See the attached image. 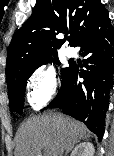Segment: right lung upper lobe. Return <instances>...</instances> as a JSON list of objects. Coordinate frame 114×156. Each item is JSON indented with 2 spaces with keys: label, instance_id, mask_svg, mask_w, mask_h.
I'll return each mask as SVG.
<instances>
[{
  "label": "right lung upper lobe",
  "instance_id": "1",
  "mask_svg": "<svg viewBox=\"0 0 114 156\" xmlns=\"http://www.w3.org/2000/svg\"><path fill=\"white\" fill-rule=\"evenodd\" d=\"M104 9L100 0H37L31 17L14 34L7 52L6 80L40 66L55 55L70 30V45ZM55 50H53V48Z\"/></svg>",
  "mask_w": 114,
  "mask_h": 156
}]
</instances>
